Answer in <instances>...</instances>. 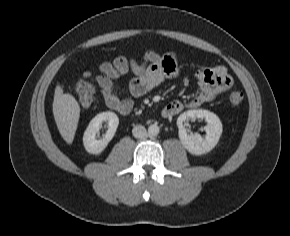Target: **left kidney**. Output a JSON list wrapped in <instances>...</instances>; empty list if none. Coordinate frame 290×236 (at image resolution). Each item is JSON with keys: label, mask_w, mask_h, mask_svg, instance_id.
<instances>
[{"label": "left kidney", "mask_w": 290, "mask_h": 236, "mask_svg": "<svg viewBox=\"0 0 290 236\" xmlns=\"http://www.w3.org/2000/svg\"><path fill=\"white\" fill-rule=\"evenodd\" d=\"M204 119L207 122L205 126L206 136L202 138L200 134H188L184 123L193 119ZM179 128V139L187 151L193 155H202L210 152L218 143L222 134V123L214 113L197 109L188 110L182 113L177 119Z\"/></svg>", "instance_id": "5707ae66"}]
</instances>
